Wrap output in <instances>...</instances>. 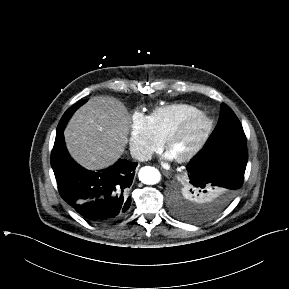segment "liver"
Instances as JSON below:
<instances>
[{
	"mask_svg": "<svg viewBox=\"0 0 289 289\" xmlns=\"http://www.w3.org/2000/svg\"><path fill=\"white\" fill-rule=\"evenodd\" d=\"M131 117L117 99L96 96L81 106L64 130L73 159L89 170L114 164L128 142Z\"/></svg>",
	"mask_w": 289,
	"mask_h": 289,
	"instance_id": "liver-1",
	"label": "liver"
}]
</instances>
